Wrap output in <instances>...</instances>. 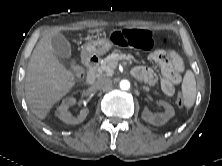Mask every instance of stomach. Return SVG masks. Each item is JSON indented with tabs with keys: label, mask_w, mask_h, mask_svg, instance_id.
Here are the masks:
<instances>
[{
	"label": "stomach",
	"mask_w": 222,
	"mask_h": 166,
	"mask_svg": "<svg viewBox=\"0 0 222 166\" xmlns=\"http://www.w3.org/2000/svg\"><path fill=\"white\" fill-rule=\"evenodd\" d=\"M113 44L111 41L106 37H97L93 40H90L85 45V50L89 54H97L103 55L104 53L108 52L112 48Z\"/></svg>",
	"instance_id": "1"
}]
</instances>
